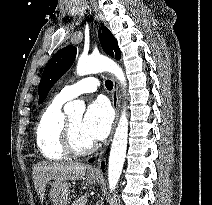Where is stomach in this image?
<instances>
[{"mask_svg":"<svg viewBox=\"0 0 212 205\" xmlns=\"http://www.w3.org/2000/svg\"><path fill=\"white\" fill-rule=\"evenodd\" d=\"M86 180L89 184H95L100 180L98 176L88 174ZM69 187L67 181H54L51 183L50 199L53 205H68L69 203Z\"/></svg>","mask_w":212,"mask_h":205,"instance_id":"0dacf381","label":"stomach"}]
</instances>
